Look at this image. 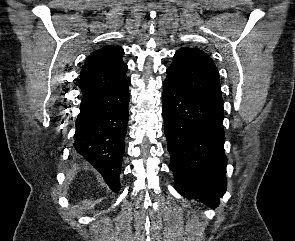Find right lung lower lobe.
I'll return each instance as SVG.
<instances>
[{"label": "right lung lower lobe", "mask_w": 295, "mask_h": 241, "mask_svg": "<svg viewBox=\"0 0 295 241\" xmlns=\"http://www.w3.org/2000/svg\"><path fill=\"white\" fill-rule=\"evenodd\" d=\"M127 80L122 85L83 96L76 120L74 147L104 177L114 191L120 190L119 175L130 100Z\"/></svg>", "instance_id": "right-lung-lower-lobe-1"}]
</instances>
